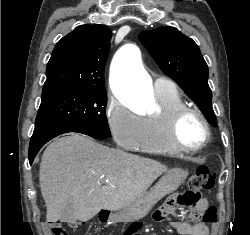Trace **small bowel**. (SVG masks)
Listing matches in <instances>:
<instances>
[{
    "label": "small bowel",
    "instance_id": "c3829d8e",
    "mask_svg": "<svg viewBox=\"0 0 250 235\" xmlns=\"http://www.w3.org/2000/svg\"><path fill=\"white\" fill-rule=\"evenodd\" d=\"M176 201L174 199H169L165 205L159 209L153 216L155 221L161 222L164 221L170 211L173 210ZM179 206H185L183 203L178 201ZM208 207V201L206 199H201L192 209L194 223L174 221L172 226L180 235H210V228L207 224L199 221L197 213H202ZM126 235H135V231H129Z\"/></svg>",
    "mask_w": 250,
    "mask_h": 235
}]
</instances>
